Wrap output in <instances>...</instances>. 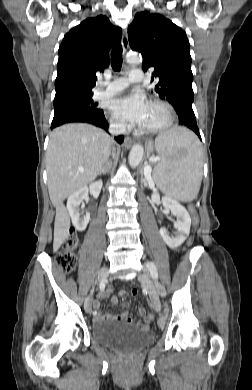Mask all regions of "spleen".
I'll return each instance as SVG.
<instances>
[{
	"label": "spleen",
	"mask_w": 252,
	"mask_h": 390,
	"mask_svg": "<svg viewBox=\"0 0 252 390\" xmlns=\"http://www.w3.org/2000/svg\"><path fill=\"white\" fill-rule=\"evenodd\" d=\"M161 156L153 180L168 197L191 202L199 193L203 175V154L194 133L177 127L156 138Z\"/></svg>",
	"instance_id": "obj_1"
}]
</instances>
